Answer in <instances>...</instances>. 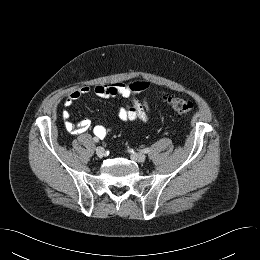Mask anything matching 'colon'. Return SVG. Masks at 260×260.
Returning <instances> with one entry per match:
<instances>
[{
    "label": "colon",
    "instance_id": "5ec220e1",
    "mask_svg": "<svg viewBox=\"0 0 260 260\" xmlns=\"http://www.w3.org/2000/svg\"><path fill=\"white\" fill-rule=\"evenodd\" d=\"M163 100L177 113L187 114L194 109V103L192 101L177 98L174 96H164Z\"/></svg>",
    "mask_w": 260,
    "mask_h": 260
}]
</instances>
